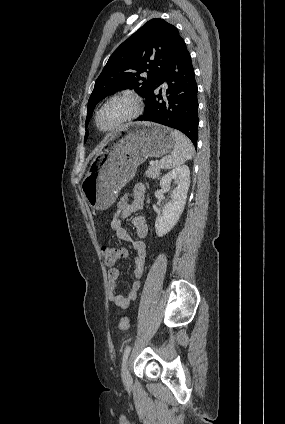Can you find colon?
I'll return each mask as SVG.
<instances>
[{
	"label": "colon",
	"instance_id": "obj_1",
	"mask_svg": "<svg viewBox=\"0 0 285 424\" xmlns=\"http://www.w3.org/2000/svg\"><path fill=\"white\" fill-rule=\"evenodd\" d=\"M102 255L107 264H114L117 260L122 257V252L119 248L114 246H103ZM119 327L123 330L129 328V321L127 317H122L119 321Z\"/></svg>",
	"mask_w": 285,
	"mask_h": 424
}]
</instances>
